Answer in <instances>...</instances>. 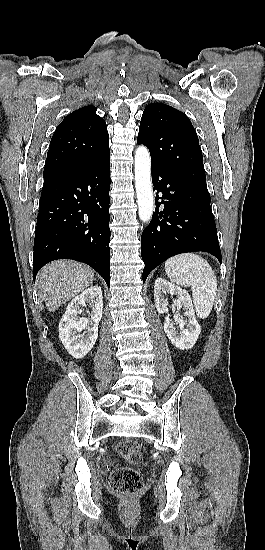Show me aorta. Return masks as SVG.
Listing matches in <instances>:
<instances>
[{"instance_id": "obj_1", "label": "aorta", "mask_w": 265, "mask_h": 550, "mask_svg": "<svg viewBox=\"0 0 265 550\" xmlns=\"http://www.w3.org/2000/svg\"><path fill=\"white\" fill-rule=\"evenodd\" d=\"M135 187L139 218L145 223L151 219L154 209L150 154L145 146L135 151Z\"/></svg>"}]
</instances>
